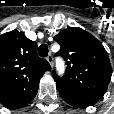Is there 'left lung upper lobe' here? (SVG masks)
Returning a JSON list of instances; mask_svg holds the SVG:
<instances>
[{
    "mask_svg": "<svg viewBox=\"0 0 114 114\" xmlns=\"http://www.w3.org/2000/svg\"><path fill=\"white\" fill-rule=\"evenodd\" d=\"M67 64L66 75L53 77L57 88L101 99L107 91L112 68L106 50L99 40L78 27H69L55 36Z\"/></svg>",
    "mask_w": 114,
    "mask_h": 114,
    "instance_id": "obj_1",
    "label": "left lung upper lobe"
}]
</instances>
